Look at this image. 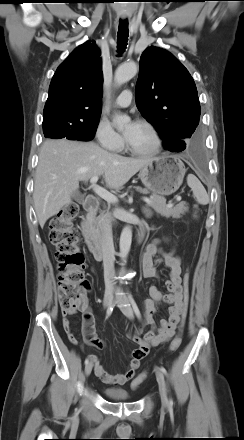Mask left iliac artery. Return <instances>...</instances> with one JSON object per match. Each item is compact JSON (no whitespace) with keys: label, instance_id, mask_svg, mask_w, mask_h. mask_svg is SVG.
Returning <instances> with one entry per match:
<instances>
[{"label":"left iliac artery","instance_id":"left-iliac-artery-1","mask_svg":"<svg viewBox=\"0 0 244 440\" xmlns=\"http://www.w3.org/2000/svg\"><path fill=\"white\" fill-rule=\"evenodd\" d=\"M129 297H130V301H131V304H132L133 310H134V312H135L137 318H138V319H141V313H140V310H139V308H138V306H137L135 300L132 298L131 295H130ZM160 370H161L166 376H168L167 370H166L164 367H161ZM169 406H173V401H172V399H170V401H169Z\"/></svg>","mask_w":244,"mask_h":440}]
</instances>
